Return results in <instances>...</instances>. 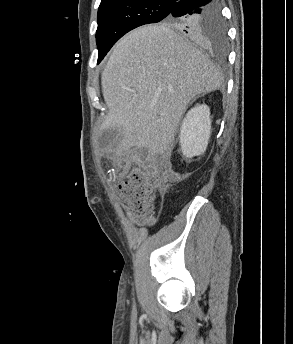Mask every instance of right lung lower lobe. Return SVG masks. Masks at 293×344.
I'll return each mask as SVG.
<instances>
[{
    "label": "right lung lower lobe",
    "instance_id": "right-lung-lower-lobe-1",
    "mask_svg": "<svg viewBox=\"0 0 293 344\" xmlns=\"http://www.w3.org/2000/svg\"><path fill=\"white\" fill-rule=\"evenodd\" d=\"M217 5V0H178L175 2L174 8L170 13L171 17L184 18L195 16L203 12H210ZM186 33L193 40L200 37L202 27L194 23H188L183 28ZM198 42V41H197Z\"/></svg>",
    "mask_w": 293,
    "mask_h": 344
}]
</instances>
